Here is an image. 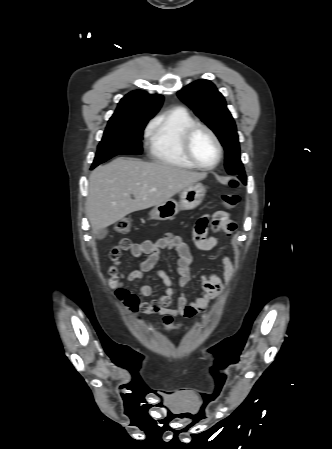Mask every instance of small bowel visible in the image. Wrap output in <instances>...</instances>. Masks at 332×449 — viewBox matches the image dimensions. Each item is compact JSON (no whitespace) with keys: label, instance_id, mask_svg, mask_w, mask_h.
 <instances>
[{"label":"small bowel","instance_id":"small-bowel-1","mask_svg":"<svg viewBox=\"0 0 332 449\" xmlns=\"http://www.w3.org/2000/svg\"><path fill=\"white\" fill-rule=\"evenodd\" d=\"M236 223L230 219L228 213L217 211L211 215L199 217L193 227V244L201 251H211L217 246V239L210 235L223 232L227 237H231L236 230ZM131 254L135 258L143 257L139 268H132L128 273H122L118 265H112L109 270L107 283L112 287H123L127 282H139L137 295L144 299L153 294V289L148 283L142 282L144 273L153 270L160 258L162 250L173 251L177 256L176 269L180 276L179 284L184 288L191 278L190 265L192 255L188 245L183 239L173 233H167L155 241L145 240L141 243H133L128 240ZM223 267V279L216 273H211L203 278L200 293L192 300H189L182 291L177 299L176 306L172 307L174 295L173 282L164 270H156V275L162 280L166 289L164 294L157 296L150 302L142 301L140 310L146 314H160L168 316L193 317L204 312L210 302L218 297L231 281L235 273V263L232 259L221 254L219 256Z\"/></svg>","mask_w":332,"mask_h":449}]
</instances>
